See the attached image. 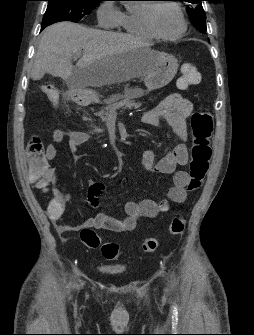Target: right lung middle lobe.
Wrapping results in <instances>:
<instances>
[{"mask_svg":"<svg viewBox=\"0 0 254 335\" xmlns=\"http://www.w3.org/2000/svg\"><path fill=\"white\" fill-rule=\"evenodd\" d=\"M48 6L42 20V27L60 21L78 22L89 15L102 0H47Z\"/></svg>","mask_w":254,"mask_h":335,"instance_id":"right-lung-middle-lobe-1","label":"right lung middle lobe"}]
</instances>
